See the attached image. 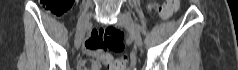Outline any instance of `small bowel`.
<instances>
[{
  "mask_svg": "<svg viewBox=\"0 0 238 70\" xmlns=\"http://www.w3.org/2000/svg\"><path fill=\"white\" fill-rule=\"evenodd\" d=\"M85 47L91 59L83 61L80 70H100L102 68L101 62L106 64L111 59L109 54L103 53V50L99 48L94 34L86 40Z\"/></svg>",
  "mask_w": 238,
  "mask_h": 70,
  "instance_id": "c3829d8e",
  "label": "small bowel"
}]
</instances>
